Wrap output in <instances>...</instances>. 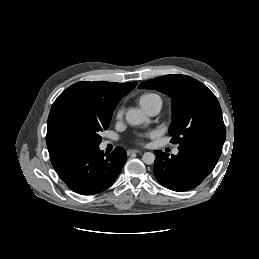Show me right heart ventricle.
Here are the masks:
<instances>
[{
	"mask_svg": "<svg viewBox=\"0 0 259 259\" xmlns=\"http://www.w3.org/2000/svg\"><path fill=\"white\" fill-rule=\"evenodd\" d=\"M138 102L144 110H147L153 105H159L160 107L162 105L161 97L158 94L152 92L142 94L138 98Z\"/></svg>",
	"mask_w": 259,
	"mask_h": 259,
	"instance_id": "e07e8e85",
	"label": "right heart ventricle"
}]
</instances>
